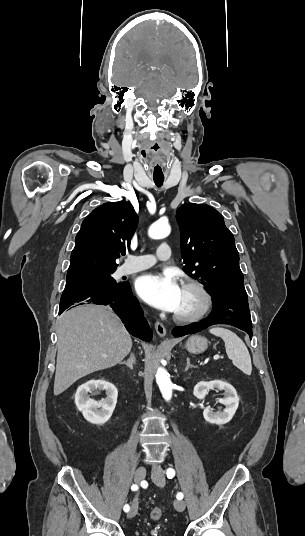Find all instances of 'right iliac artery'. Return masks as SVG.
<instances>
[{
    "label": "right iliac artery",
    "instance_id": "1",
    "mask_svg": "<svg viewBox=\"0 0 305 536\" xmlns=\"http://www.w3.org/2000/svg\"><path fill=\"white\" fill-rule=\"evenodd\" d=\"M137 489H138V486H137L136 484H133V485L131 486V490H132V491H136ZM123 510H124L125 512H128V511L130 510L129 505L126 504V505L124 506Z\"/></svg>",
    "mask_w": 305,
    "mask_h": 536
}]
</instances>
